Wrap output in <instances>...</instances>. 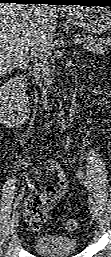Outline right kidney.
<instances>
[{
  "mask_svg": "<svg viewBox=\"0 0 111 257\" xmlns=\"http://www.w3.org/2000/svg\"><path fill=\"white\" fill-rule=\"evenodd\" d=\"M26 82L23 76H16L6 81L0 88L1 117L4 123L16 115V112L27 110L29 98L25 93ZM8 121H5L7 120Z\"/></svg>",
  "mask_w": 111,
  "mask_h": 257,
  "instance_id": "obj_1",
  "label": "right kidney"
}]
</instances>
